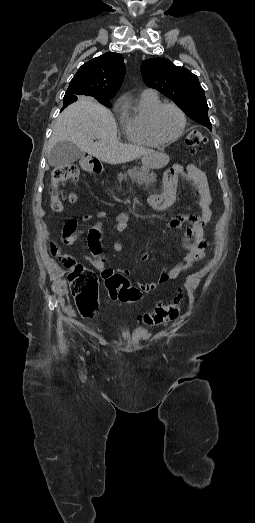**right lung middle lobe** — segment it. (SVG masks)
<instances>
[{"instance_id": "obj_1", "label": "right lung middle lobe", "mask_w": 255, "mask_h": 523, "mask_svg": "<svg viewBox=\"0 0 255 523\" xmlns=\"http://www.w3.org/2000/svg\"><path fill=\"white\" fill-rule=\"evenodd\" d=\"M98 102H100L101 104H103L106 107H109V108L112 107L110 100H98Z\"/></svg>"}]
</instances>
